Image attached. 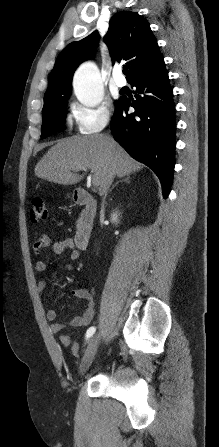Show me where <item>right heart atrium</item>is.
Returning a JSON list of instances; mask_svg holds the SVG:
<instances>
[{
  "label": "right heart atrium",
  "mask_w": 219,
  "mask_h": 447,
  "mask_svg": "<svg viewBox=\"0 0 219 447\" xmlns=\"http://www.w3.org/2000/svg\"><path fill=\"white\" fill-rule=\"evenodd\" d=\"M95 107H81L76 111V122L81 134L89 135L100 132L110 121L112 107L96 98Z\"/></svg>",
  "instance_id": "1"
}]
</instances>
